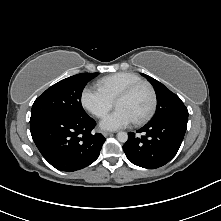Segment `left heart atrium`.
I'll list each match as a JSON object with an SVG mask.
<instances>
[{"label":"left heart atrium","instance_id":"left-heart-atrium-1","mask_svg":"<svg viewBox=\"0 0 221 221\" xmlns=\"http://www.w3.org/2000/svg\"><path fill=\"white\" fill-rule=\"evenodd\" d=\"M133 122V118L124 109L117 108L100 122V127L105 130H117Z\"/></svg>","mask_w":221,"mask_h":221}]
</instances>
